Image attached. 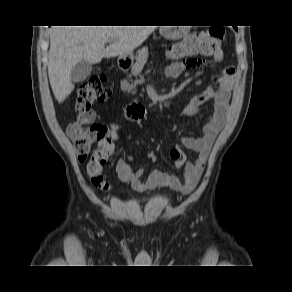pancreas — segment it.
I'll return each mask as SVG.
<instances>
[{
  "mask_svg": "<svg viewBox=\"0 0 292 292\" xmlns=\"http://www.w3.org/2000/svg\"><path fill=\"white\" fill-rule=\"evenodd\" d=\"M148 59V49L147 47H144L143 49L138 51V54L136 56V62L132 66V74L138 75L141 73L146 61ZM133 88V86L129 85L126 81L122 82V89L130 91Z\"/></svg>",
  "mask_w": 292,
  "mask_h": 292,
  "instance_id": "pancreas-1",
  "label": "pancreas"
}]
</instances>
